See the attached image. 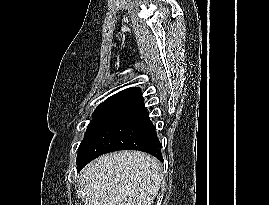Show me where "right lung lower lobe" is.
Returning a JSON list of instances; mask_svg holds the SVG:
<instances>
[{"instance_id":"right-lung-lower-lobe-1","label":"right lung lower lobe","mask_w":269,"mask_h":205,"mask_svg":"<svg viewBox=\"0 0 269 205\" xmlns=\"http://www.w3.org/2000/svg\"><path fill=\"white\" fill-rule=\"evenodd\" d=\"M118 150H139L163 161L161 143L143 103L114 117L83 149L77 169L80 171L102 154Z\"/></svg>"}]
</instances>
